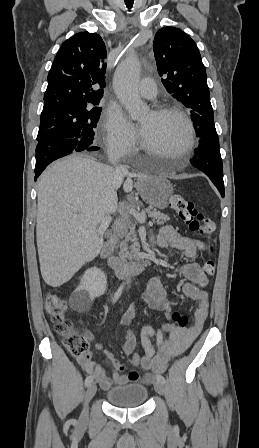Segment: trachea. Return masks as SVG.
<instances>
[{"mask_svg": "<svg viewBox=\"0 0 259 448\" xmlns=\"http://www.w3.org/2000/svg\"><path fill=\"white\" fill-rule=\"evenodd\" d=\"M127 8H132L134 0H124Z\"/></svg>", "mask_w": 259, "mask_h": 448, "instance_id": "1", "label": "trachea"}]
</instances>
